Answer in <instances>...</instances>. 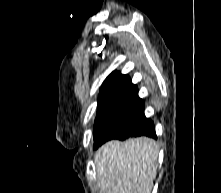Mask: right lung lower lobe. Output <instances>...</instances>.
Instances as JSON below:
<instances>
[{"instance_id":"right-lung-lower-lobe-1","label":"right lung lower lobe","mask_w":221,"mask_h":193,"mask_svg":"<svg viewBox=\"0 0 221 193\" xmlns=\"http://www.w3.org/2000/svg\"><path fill=\"white\" fill-rule=\"evenodd\" d=\"M138 136H149L152 138H157L154 130V124L150 119H146L140 126L130 130L126 134L116 139L125 140L129 137H138Z\"/></svg>"}]
</instances>
